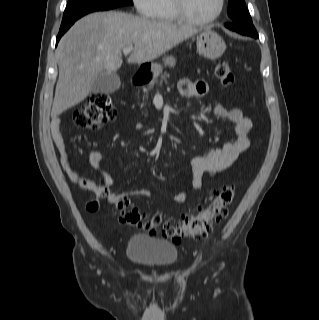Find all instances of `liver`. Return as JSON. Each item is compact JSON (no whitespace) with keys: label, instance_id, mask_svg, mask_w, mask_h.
Listing matches in <instances>:
<instances>
[{"label":"liver","instance_id":"1","mask_svg":"<svg viewBox=\"0 0 319 320\" xmlns=\"http://www.w3.org/2000/svg\"><path fill=\"white\" fill-rule=\"evenodd\" d=\"M199 30L122 12H97L77 22L61 38L56 59L59 78L51 111L56 118L89 95L102 71L116 72L122 50L133 47L129 64L157 59Z\"/></svg>","mask_w":319,"mask_h":320}]
</instances>
